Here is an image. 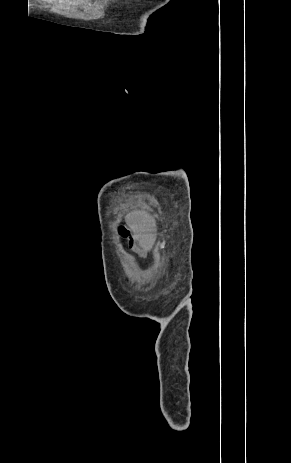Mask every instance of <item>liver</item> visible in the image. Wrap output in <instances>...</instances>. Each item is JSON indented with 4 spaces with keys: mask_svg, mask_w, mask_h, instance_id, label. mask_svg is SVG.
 Returning a JSON list of instances; mask_svg holds the SVG:
<instances>
[{
    "mask_svg": "<svg viewBox=\"0 0 291 463\" xmlns=\"http://www.w3.org/2000/svg\"><path fill=\"white\" fill-rule=\"evenodd\" d=\"M125 219L131 230L136 233L140 246L146 251L152 249L156 240V221L154 217L143 208L128 213Z\"/></svg>",
    "mask_w": 291,
    "mask_h": 463,
    "instance_id": "6515ba94",
    "label": "liver"
}]
</instances>
